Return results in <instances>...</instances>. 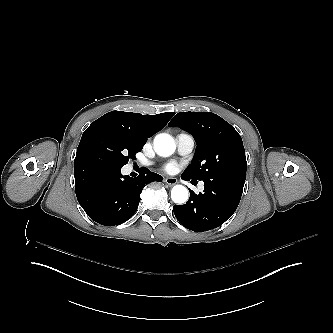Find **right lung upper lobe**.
Instances as JSON below:
<instances>
[{
  "instance_id": "1",
  "label": "right lung upper lobe",
  "mask_w": 333,
  "mask_h": 333,
  "mask_svg": "<svg viewBox=\"0 0 333 333\" xmlns=\"http://www.w3.org/2000/svg\"><path fill=\"white\" fill-rule=\"evenodd\" d=\"M174 114L167 112L157 115H142L140 113L111 111L94 121L83 134L86 135L96 127H106L144 145L147 138L160 131Z\"/></svg>"
}]
</instances>
